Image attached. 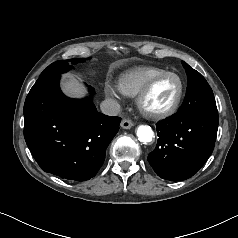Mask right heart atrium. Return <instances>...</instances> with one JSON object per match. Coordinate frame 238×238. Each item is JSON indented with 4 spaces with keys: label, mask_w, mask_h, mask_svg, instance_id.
Returning <instances> with one entry per match:
<instances>
[{
    "label": "right heart atrium",
    "mask_w": 238,
    "mask_h": 238,
    "mask_svg": "<svg viewBox=\"0 0 238 238\" xmlns=\"http://www.w3.org/2000/svg\"><path fill=\"white\" fill-rule=\"evenodd\" d=\"M104 91L107 96L112 98H119L122 95V91L120 90L118 85L107 83L105 85Z\"/></svg>",
    "instance_id": "1"
}]
</instances>
